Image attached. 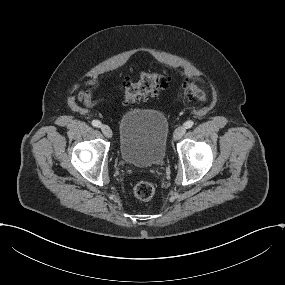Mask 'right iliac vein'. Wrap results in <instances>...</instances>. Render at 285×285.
<instances>
[{
  "label": "right iliac vein",
  "mask_w": 285,
  "mask_h": 285,
  "mask_svg": "<svg viewBox=\"0 0 285 285\" xmlns=\"http://www.w3.org/2000/svg\"><path fill=\"white\" fill-rule=\"evenodd\" d=\"M101 131L105 137L107 138L112 137V130L108 125H101Z\"/></svg>",
  "instance_id": "1"
}]
</instances>
